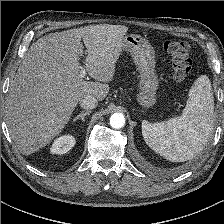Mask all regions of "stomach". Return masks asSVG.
<instances>
[{
    "label": "stomach",
    "instance_id": "0dacf381",
    "mask_svg": "<svg viewBox=\"0 0 224 224\" xmlns=\"http://www.w3.org/2000/svg\"><path fill=\"white\" fill-rule=\"evenodd\" d=\"M123 50L128 51L139 71V94L137 100L143 109L156 103L159 81L155 72V51L148 40L140 35H126L122 40Z\"/></svg>",
    "mask_w": 224,
    "mask_h": 224
}]
</instances>
